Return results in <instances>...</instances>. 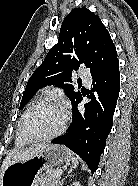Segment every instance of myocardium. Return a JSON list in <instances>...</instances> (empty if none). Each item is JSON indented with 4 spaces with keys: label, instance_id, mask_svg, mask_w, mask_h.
<instances>
[{
    "label": "myocardium",
    "instance_id": "myocardium-1",
    "mask_svg": "<svg viewBox=\"0 0 138 186\" xmlns=\"http://www.w3.org/2000/svg\"><path fill=\"white\" fill-rule=\"evenodd\" d=\"M44 105H56V106L61 107L64 110L65 118H64L63 125L61 126V128L59 130H57L56 132H54V133H52L50 135H46V136H42V137L29 136L24 130L25 120L28 117V115L34 109H36V108H38L40 106H44ZM69 122H70V113L67 110V108L61 102H59L58 100H56L54 98H44V99H41V100L37 101L36 103L32 104L23 113V115L21 116L20 122H19V133H20V136L22 137V139L24 141H26V142H29V143L49 141V140H52V139L60 136L62 133H64L65 130L67 129V127H68Z\"/></svg>",
    "mask_w": 138,
    "mask_h": 186
}]
</instances>
